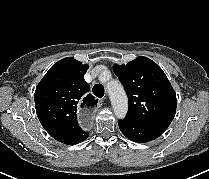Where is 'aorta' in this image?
I'll return each mask as SVG.
<instances>
[{"label":"aorta","mask_w":209,"mask_h":179,"mask_svg":"<svg viewBox=\"0 0 209 179\" xmlns=\"http://www.w3.org/2000/svg\"><path fill=\"white\" fill-rule=\"evenodd\" d=\"M107 92L116 117L123 119L128 111V99L123 86L118 81H111L107 84Z\"/></svg>","instance_id":"762f6f07"}]
</instances>
